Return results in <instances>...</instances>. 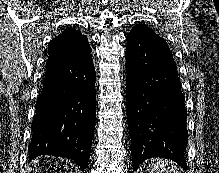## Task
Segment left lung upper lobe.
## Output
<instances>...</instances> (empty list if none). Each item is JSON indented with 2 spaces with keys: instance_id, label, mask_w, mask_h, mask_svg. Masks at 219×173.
Here are the masks:
<instances>
[{
  "instance_id": "5c2ea615",
  "label": "left lung upper lobe",
  "mask_w": 219,
  "mask_h": 173,
  "mask_svg": "<svg viewBox=\"0 0 219 173\" xmlns=\"http://www.w3.org/2000/svg\"><path fill=\"white\" fill-rule=\"evenodd\" d=\"M140 34H156L150 27L143 24H136L129 35H140Z\"/></svg>"
}]
</instances>
